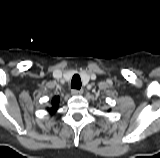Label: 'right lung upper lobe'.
<instances>
[{"label":"right lung upper lobe","instance_id":"obj_1","mask_svg":"<svg viewBox=\"0 0 160 158\" xmlns=\"http://www.w3.org/2000/svg\"><path fill=\"white\" fill-rule=\"evenodd\" d=\"M58 102H59V97L58 96H55L51 102L52 104V107L51 108H48V111L51 113V114H54L58 108Z\"/></svg>","mask_w":160,"mask_h":158}]
</instances>
